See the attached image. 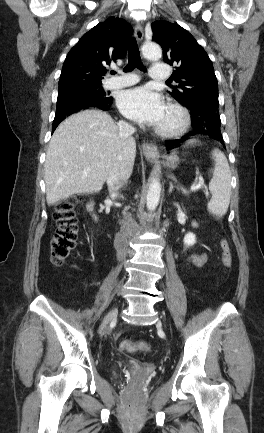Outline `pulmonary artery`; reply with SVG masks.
Instances as JSON below:
<instances>
[{"label":"pulmonary artery","instance_id":"1","mask_svg":"<svg viewBox=\"0 0 264 433\" xmlns=\"http://www.w3.org/2000/svg\"><path fill=\"white\" fill-rule=\"evenodd\" d=\"M169 77V70L166 66L160 64H154L151 67L150 78L152 80H165ZM138 82V78L132 74L127 73L108 79L105 82V87L108 89H118L126 86H130Z\"/></svg>","mask_w":264,"mask_h":433}]
</instances>
